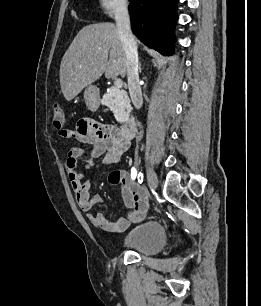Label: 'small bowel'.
I'll return each mask as SVG.
<instances>
[{"label": "small bowel", "mask_w": 261, "mask_h": 306, "mask_svg": "<svg viewBox=\"0 0 261 306\" xmlns=\"http://www.w3.org/2000/svg\"><path fill=\"white\" fill-rule=\"evenodd\" d=\"M60 135L65 139L91 146L88 153L81 147H72L64 162L75 201L86 213L87 219L109 234H119L132 223L142 220L145 216L146 201L142 193L132 186L128 173L117 171L122 176L121 181L117 183L112 182L109 176L112 185L120 186L121 196L128 210L126 216L111 221L102 213H92L93 207L100 202V197L91 195V182H83L84 171L78 167V162L82 159H85V170L88 171L119 163L130 146V139L124 138L118 128L93 120H81L75 129L63 130Z\"/></svg>", "instance_id": "small-bowel-1"}]
</instances>
